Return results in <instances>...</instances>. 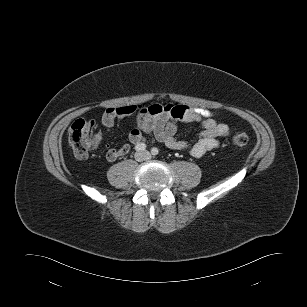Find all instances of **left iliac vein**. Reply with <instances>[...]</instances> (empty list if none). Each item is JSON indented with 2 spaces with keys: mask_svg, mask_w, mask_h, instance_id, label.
<instances>
[{
  "mask_svg": "<svg viewBox=\"0 0 307 307\" xmlns=\"http://www.w3.org/2000/svg\"><path fill=\"white\" fill-rule=\"evenodd\" d=\"M145 154V156L149 159L150 158V156H149V154L148 153H144Z\"/></svg>",
  "mask_w": 307,
  "mask_h": 307,
  "instance_id": "1",
  "label": "left iliac vein"
}]
</instances>
